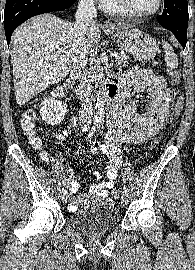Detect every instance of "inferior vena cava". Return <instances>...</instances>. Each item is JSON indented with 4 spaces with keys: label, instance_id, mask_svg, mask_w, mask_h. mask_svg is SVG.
Segmentation results:
<instances>
[{
    "label": "inferior vena cava",
    "instance_id": "obj_1",
    "mask_svg": "<svg viewBox=\"0 0 195 270\" xmlns=\"http://www.w3.org/2000/svg\"><path fill=\"white\" fill-rule=\"evenodd\" d=\"M97 10L94 5V0H80L76 12V23L74 30L77 40V49L73 57V65L86 74L87 54L89 47L86 42V36L89 29L96 24ZM81 121L84 123V128L91 123L93 116L92 100L85 95L82 100V108L79 111Z\"/></svg>",
    "mask_w": 195,
    "mask_h": 270
}]
</instances>
